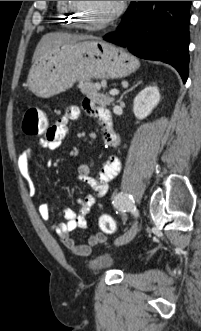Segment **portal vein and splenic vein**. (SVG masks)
Wrapping results in <instances>:
<instances>
[{"mask_svg":"<svg viewBox=\"0 0 201 331\" xmlns=\"http://www.w3.org/2000/svg\"><path fill=\"white\" fill-rule=\"evenodd\" d=\"M109 94L115 96L119 94V91L117 89H112L109 91Z\"/></svg>","mask_w":201,"mask_h":331,"instance_id":"portal-vein-and-splenic-vein-1","label":"portal vein and splenic vein"}]
</instances>
